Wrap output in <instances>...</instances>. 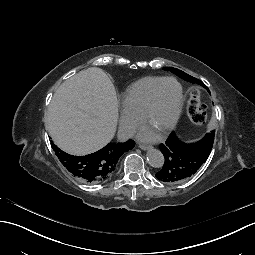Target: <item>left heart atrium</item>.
<instances>
[{
  "mask_svg": "<svg viewBox=\"0 0 255 255\" xmlns=\"http://www.w3.org/2000/svg\"><path fill=\"white\" fill-rule=\"evenodd\" d=\"M140 136L143 139L152 140V139H155L157 137V134L152 133V132L147 131V130H144V131L141 132Z\"/></svg>",
  "mask_w": 255,
  "mask_h": 255,
  "instance_id": "39dd6f15",
  "label": "left heart atrium"
}]
</instances>
